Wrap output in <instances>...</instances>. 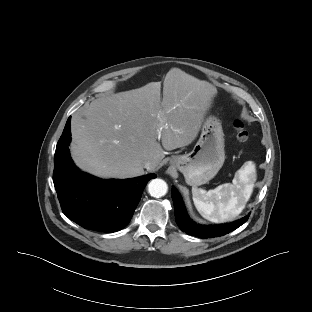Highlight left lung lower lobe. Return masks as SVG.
<instances>
[{
    "instance_id": "1",
    "label": "left lung lower lobe",
    "mask_w": 312,
    "mask_h": 312,
    "mask_svg": "<svg viewBox=\"0 0 312 312\" xmlns=\"http://www.w3.org/2000/svg\"><path fill=\"white\" fill-rule=\"evenodd\" d=\"M172 199L174 202L175 219L179 228L182 231L199 238H212L228 234L244 224L249 217V215H247L244 218L229 224L200 225L196 224L188 217L182 198L175 187L172 188Z\"/></svg>"
}]
</instances>
